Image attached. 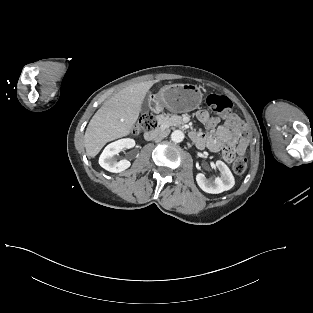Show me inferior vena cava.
I'll return each mask as SVG.
<instances>
[{
	"label": "inferior vena cava",
	"instance_id": "1",
	"mask_svg": "<svg viewBox=\"0 0 313 313\" xmlns=\"http://www.w3.org/2000/svg\"><path fill=\"white\" fill-rule=\"evenodd\" d=\"M168 134H169V130H162V131L156 132L154 134V139L155 140H161V139L167 137Z\"/></svg>",
	"mask_w": 313,
	"mask_h": 313
}]
</instances>
